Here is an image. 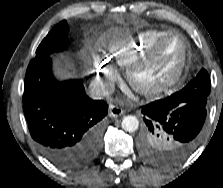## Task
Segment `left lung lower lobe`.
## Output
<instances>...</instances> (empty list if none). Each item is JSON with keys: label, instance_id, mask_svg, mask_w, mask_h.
Returning a JSON list of instances; mask_svg holds the SVG:
<instances>
[{"label": "left lung lower lobe", "instance_id": "0a47b994", "mask_svg": "<svg viewBox=\"0 0 223 188\" xmlns=\"http://www.w3.org/2000/svg\"><path fill=\"white\" fill-rule=\"evenodd\" d=\"M147 131H162L176 144L175 155L180 161L198 145L206 118V108L195 104L180 105L166 99L142 107Z\"/></svg>", "mask_w": 223, "mask_h": 188}]
</instances>
